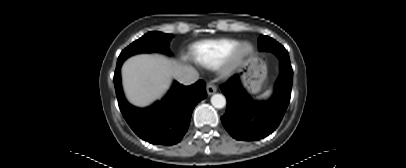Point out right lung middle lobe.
Returning a JSON list of instances; mask_svg holds the SVG:
<instances>
[{
	"instance_id": "obj_1",
	"label": "right lung middle lobe",
	"mask_w": 406,
	"mask_h": 168,
	"mask_svg": "<svg viewBox=\"0 0 406 168\" xmlns=\"http://www.w3.org/2000/svg\"><path fill=\"white\" fill-rule=\"evenodd\" d=\"M173 35L153 31L148 32L127 48H125L118 57L117 64L122 63L126 58L137 53L143 52H163L169 54V41Z\"/></svg>"
}]
</instances>
